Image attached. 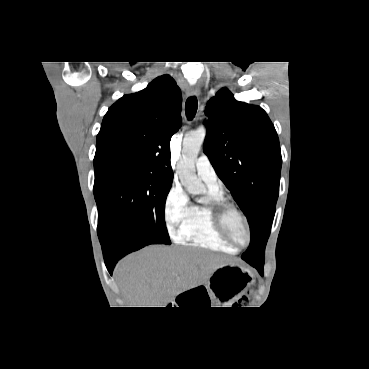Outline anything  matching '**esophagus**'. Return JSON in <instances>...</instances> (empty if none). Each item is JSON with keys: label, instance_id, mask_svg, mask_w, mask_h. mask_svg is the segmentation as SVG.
Returning a JSON list of instances; mask_svg holds the SVG:
<instances>
[{"label": "esophagus", "instance_id": "1", "mask_svg": "<svg viewBox=\"0 0 369 369\" xmlns=\"http://www.w3.org/2000/svg\"><path fill=\"white\" fill-rule=\"evenodd\" d=\"M187 94L189 96H198L200 94V88L195 85V86H191L189 89H188V92Z\"/></svg>", "mask_w": 369, "mask_h": 369}]
</instances>
